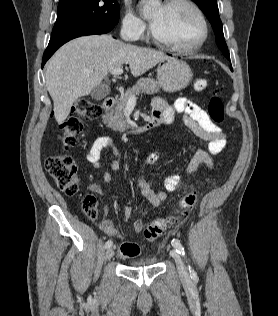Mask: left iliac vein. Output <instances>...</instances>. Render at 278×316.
Returning a JSON list of instances; mask_svg holds the SVG:
<instances>
[{
	"mask_svg": "<svg viewBox=\"0 0 278 316\" xmlns=\"http://www.w3.org/2000/svg\"><path fill=\"white\" fill-rule=\"evenodd\" d=\"M170 255L173 257V259L176 263L179 274L183 277H186L188 275V273H187L185 264L180 256V254L178 252H176L175 250H172L170 252Z\"/></svg>",
	"mask_w": 278,
	"mask_h": 316,
	"instance_id": "left-iliac-vein-1",
	"label": "left iliac vein"
}]
</instances>
